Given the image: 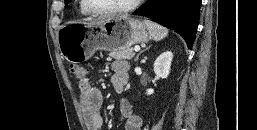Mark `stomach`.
I'll return each mask as SVG.
<instances>
[{
  "label": "stomach",
  "instance_id": "1",
  "mask_svg": "<svg viewBox=\"0 0 257 130\" xmlns=\"http://www.w3.org/2000/svg\"><path fill=\"white\" fill-rule=\"evenodd\" d=\"M146 25L126 15L98 22H68L58 30L61 55L71 63L86 61L97 50L116 51L150 39Z\"/></svg>",
  "mask_w": 257,
  "mask_h": 130
}]
</instances>
